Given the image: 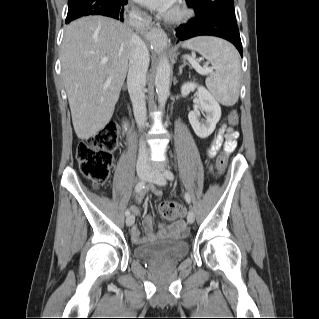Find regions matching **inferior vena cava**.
<instances>
[{
    "instance_id": "obj_1",
    "label": "inferior vena cava",
    "mask_w": 319,
    "mask_h": 319,
    "mask_svg": "<svg viewBox=\"0 0 319 319\" xmlns=\"http://www.w3.org/2000/svg\"><path fill=\"white\" fill-rule=\"evenodd\" d=\"M149 67V51L145 42L136 34L130 40L129 71L127 85L133 106L134 116L139 129L144 128L146 123V103L144 87L146 74ZM137 169H150L149 152L144 141L140 142Z\"/></svg>"
}]
</instances>
